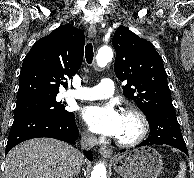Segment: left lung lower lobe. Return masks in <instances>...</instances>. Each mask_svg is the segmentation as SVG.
I'll list each match as a JSON object with an SVG mask.
<instances>
[{
  "label": "left lung lower lobe",
  "mask_w": 194,
  "mask_h": 178,
  "mask_svg": "<svg viewBox=\"0 0 194 178\" xmlns=\"http://www.w3.org/2000/svg\"><path fill=\"white\" fill-rule=\"evenodd\" d=\"M146 117L150 126V134L137 147L167 144L180 149L188 155L175 109L152 110L146 114ZM124 151L126 150H121L120 152Z\"/></svg>",
  "instance_id": "0a47b994"
}]
</instances>
